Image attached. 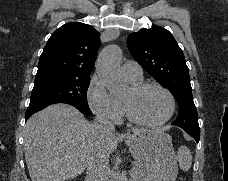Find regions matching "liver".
<instances>
[{
    "label": "liver",
    "instance_id": "liver-1",
    "mask_svg": "<svg viewBox=\"0 0 228 181\" xmlns=\"http://www.w3.org/2000/svg\"><path fill=\"white\" fill-rule=\"evenodd\" d=\"M91 123L70 105H50L25 125V161L31 181H72L87 169L94 149L111 155L118 147L117 135H91ZM164 129H132V133Z\"/></svg>",
    "mask_w": 228,
    "mask_h": 181
}]
</instances>
